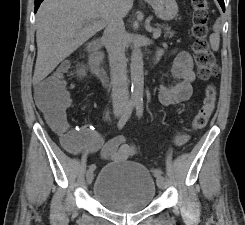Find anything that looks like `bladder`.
Listing matches in <instances>:
<instances>
[{"label":"bladder","mask_w":245,"mask_h":225,"mask_svg":"<svg viewBox=\"0 0 245 225\" xmlns=\"http://www.w3.org/2000/svg\"><path fill=\"white\" fill-rule=\"evenodd\" d=\"M157 193L152 172L131 160L103 166L95 179L92 195L113 213L131 214L147 209Z\"/></svg>","instance_id":"bladder-1"}]
</instances>
